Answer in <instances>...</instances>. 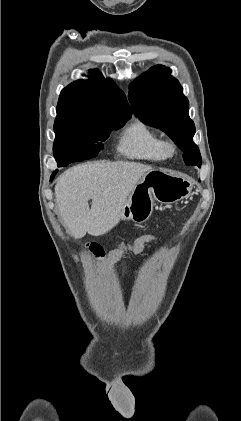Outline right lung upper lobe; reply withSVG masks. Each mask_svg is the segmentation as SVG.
Instances as JSON below:
<instances>
[{
  "label": "right lung upper lobe",
  "instance_id": "obj_1",
  "mask_svg": "<svg viewBox=\"0 0 241 421\" xmlns=\"http://www.w3.org/2000/svg\"><path fill=\"white\" fill-rule=\"evenodd\" d=\"M56 111V119L83 122L131 116L124 93L115 88L111 79H105L96 71L91 73L88 80H78L65 87Z\"/></svg>",
  "mask_w": 241,
  "mask_h": 421
}]
</instances>
